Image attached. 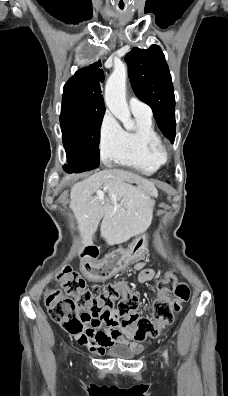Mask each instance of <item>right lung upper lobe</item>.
<instances>
[{
	"instance_id": "cb5924a9",
	"label": "right lung upper lobe",
	"mask_w": 228,
	"mask_h": 396,
	"mask_svg": "<svg viewBox=\"0 0 228 396\" xmlns=\"http://www.w3.org/2000/svg\"><path fill=\"white\" fill-rule=\"evenodd\" d=\"M104 81L101 61L78 70L65 84L63 97L86 110H105L100 84Z\"/></svg>"
}]
</instances>
